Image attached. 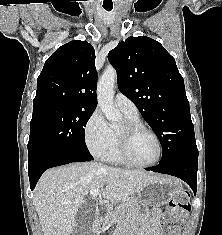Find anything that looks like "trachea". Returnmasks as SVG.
<instances>
[{
	"instance_id": "obj_1",
	"label": "trachea",
	"mask_w": 222,
	"mask_h": 235,
	"mask_svg": "<svg viewBox=\"0 0 222 235\" xmlns=\"http://www.w3.org/2000/svg\"><path fill=\"white\" fill-rule=\"evenodd\" d=\"M104 9H105L106 11H111V10L113 9V7H104Z\"/></svg>"
}]
</instances>
